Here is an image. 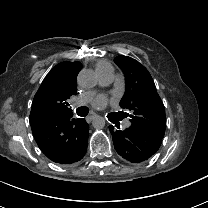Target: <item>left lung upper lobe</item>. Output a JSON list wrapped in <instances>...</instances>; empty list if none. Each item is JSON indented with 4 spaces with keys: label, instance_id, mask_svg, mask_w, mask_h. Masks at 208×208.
<instances>
[{
    "label": "left lung upper lobe",
    "instance_id": "5c2ea615",
    "mask_svg": "<svg viewBox=\"0 0 208 208\" xmlns=\"http://www.w3.org/2000/svg\"><path fill=\"white\" fill-rule=\"evenodd\" d=\"M114 61L126 77V92L120 106L131 111L130 123L163 138L165 110L150 73L131 57L117 56Z\"/></svg>",
    "mask_w": 208,
    "mask_h": 208
}]
</instances>
